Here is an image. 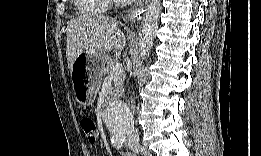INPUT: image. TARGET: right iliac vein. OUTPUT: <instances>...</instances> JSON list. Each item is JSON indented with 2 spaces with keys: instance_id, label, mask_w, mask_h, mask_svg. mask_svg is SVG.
Listing matches in <instances>:
<instances>
[{
  "instance_id": "63e3f726",
  "label": "right iliac vein",
  "mask_w": 261,
  "mask_h": 156,
  "mask_svg": "<svg viewBox=\"0 0 261 156\" xmlns=\"http://www.w3.org/2000/svg\"><path fill=\"white\" fill-rule=\"evenodd\" d=\"M135 146H136L139 150H141L145 155H150L149 151H148L145 147H143V146H141V145H139V144H136Z\"/></svg>"
}]
</instances>
